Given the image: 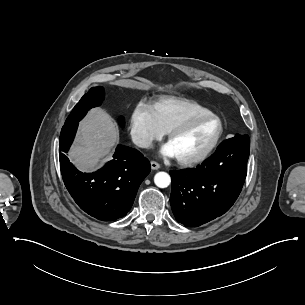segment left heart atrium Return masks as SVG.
Wrapping results in <instances>:
<instances>
[{"label":"left heart atrium","mask_w":305,"mask_h":305,"mask_svg":"<svg viewBox=\"0 0 305 305\" xmlns=\"http://www.w3.org/2000/svg\"><path fill=\"white\" fill-rule=\"evenodd\" d=\"M162 154L168 157H175L176 153L173 150L172 146L170 144H166L164 145V147L162 148Z\"/></svg>","instance_id":"1"}]
</instances>
